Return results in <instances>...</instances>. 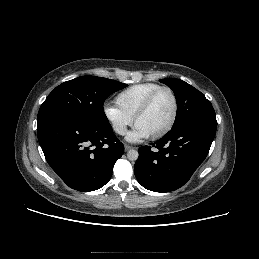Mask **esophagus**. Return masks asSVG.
Listing matches in <instances>:
<instances>
[{"label":"esophagus","instance_id":"1","mask_svg":"<svg viewBox=\"0 0 259 259\" xmlns=\"http://www.w3.org/2000/svg\"><path fill=\"white\" fill-rule=\"evenodd\" d=\"M133 147L132 146H130V145H124V149H125V151H128V150H130V149H132Z\"/></svg>","mask_w":259,"mask_h":259}]
</instances>
